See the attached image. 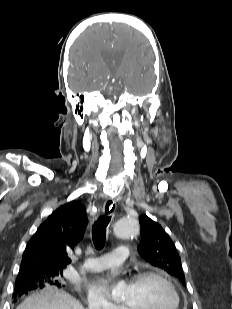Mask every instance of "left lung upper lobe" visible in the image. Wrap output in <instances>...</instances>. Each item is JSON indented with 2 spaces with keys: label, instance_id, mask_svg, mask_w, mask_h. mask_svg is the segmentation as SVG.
I'll use <instances>...</instances> for the list:
<instances>
[{
  "label": "left lung upper lobe",
  "instance_id": "1",
  "mask_svg": "<svg viewBox=\"0 0 232 309\" xmlns=\"http://www.w3.org/2000/svg\"><path fill=\"white\" fill-rule=\"evenodd\" d=\"M141 242L138 252L149 264L185 282L181 258L163 228L146 215L140 217Z\"/></svg>",
  "mask_w": 232,
  "mask_h": 309
}]
</instances>
